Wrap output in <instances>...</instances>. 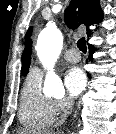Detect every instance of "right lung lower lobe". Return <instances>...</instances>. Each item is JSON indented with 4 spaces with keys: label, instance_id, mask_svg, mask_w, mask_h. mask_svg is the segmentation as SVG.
<instances>
[{
    "label": "right lung lower lobe",
    "instance_id": "right-lung-lower-lobe-1",
    "mask_svg": "<svg viewBox=\"0 0 116 134\" xmlns=\"http://www.w3.org/2000/svg\"><path fill=\"white\" fill-rule=\"evenodd\" d=\"M89 53H90V56H89V59L90 60H93L92 58V54L95 52V48L93 47V45H89ZM90 77V75H88Z\"/></svg>",
    "mask_w": 116,
    "mask_h": 134
}]
</instances>
